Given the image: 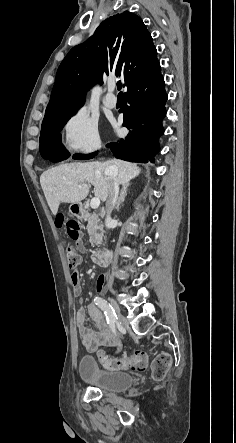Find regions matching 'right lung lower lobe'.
Instances as JSON below:
<instances>
[{
  "label": "right lung lower lobe",
  "mask_w": 236,
  "mask_h": 443,
  "mask_svg": "<svg viewBox=\"0 0 236 443\" xmlns=\"http://www.w3.org/2000/svg\"><path fill=\"white\" fill-rule=\"evenodd\" d=\"M126 86L128 91L124 94L125 106L121 112L123 126L130 133L119 143L106 146L117 158L131 162H154V155L159 151L158 139L164 132L162 119L166 115L167 100L159 62L134 77ZM40 154L52 162L62 161L70 156L63 145L43 149ZM95 154H75L73 158L85 160Z\"/></svg>",
  "instance_id": "right-lung-lower-lobe-1"
}]
</instances>
